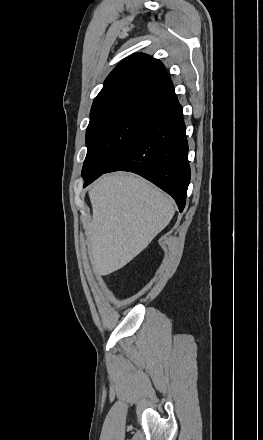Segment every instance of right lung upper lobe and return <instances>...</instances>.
Listing matches in <instances>:
<instances>
[{"label":"right lung upper lobe","instance_id":"1","mask_svg":"<svg viewBox=\"0 0 263 440\" xmlns=\"http://www.w3.org/2000/svg\"><path fill=\"white\" fill-rule=\"evenodd\" d=\"M173 94L174 87L164 65L146 54H134L107 77L94 99L90 117L117 107L158 106Z\"/></svg>","mask_w":263,"mask_h":440}]
</instances>
